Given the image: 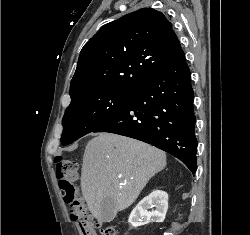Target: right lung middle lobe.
Listing matches in <instances>:
<instances>
[{"label": "right lung middle lobe", "instance_id": "1", "mask_svg": "<svg viewBox=\"0 0 250 235\" xmlns=\"http://www.w3.org/2000/svg\"><path fill=\"white\" fill-rule=\"evenodd\" d=\"M133 92L134 90H96L72 100L62 120V145L70 144L92 132L114 115Z\"/></svg>", "mask_w": 250, "mask_h": 235}]
</instances>
